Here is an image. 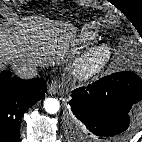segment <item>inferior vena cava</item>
<instances>
[{
    "mask_svg": "<svg viewBox=\"0 0 142 142\" xmlns=\"http://www.w3.org/2000/svg\"><path fill=\"white\" fill-rule=\"evenodd\" d=\"M15 71L21 79H31L37 75L36 64L33 62L21 63L16 67Z\"/></svg>",
    "mask_w": 142,
    "mask_h": 142,
    "instance_id": "1",
    "label": "inferior vena cava"
}]
</instances>
